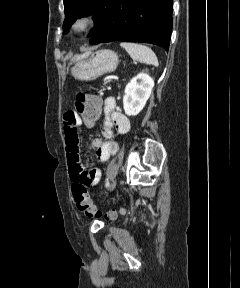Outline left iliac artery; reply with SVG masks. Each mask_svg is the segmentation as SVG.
<instances>
[{"label": "left iliac artery", "mask_w": 240, "mask_h": 288, "mask_svg": "<svg viewBox=\"0 0 240 288\" xmlns=\"http://www.w3.org/2000/svg\"><path fill=\"white\" fill-rule=\"evenodd\" d=\"M109 185H110L109 180L106 179V181H105V187H109Z\"/></svg>", "instance_id": "1"}]
</instances>
